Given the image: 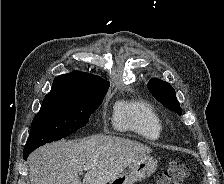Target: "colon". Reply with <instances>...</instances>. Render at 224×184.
<instances>
[{
    "instance_id": "5ec220e1",
    "label": "colon",
    "mask_w": 224,
    "mask_h": 184,
    "mask_svg": "<svg viewBox=\"0 0 224 184\" xmlns=\"http://www.w3.org/2000/svg\"><path fill=\"white\" fill-rule=\"evenodd\" d=\"M190 167L186 163L172 162L158 177L157 184H183L189 176Z\"/></svg>"
}]
</instances>
